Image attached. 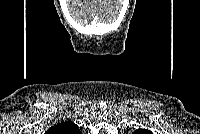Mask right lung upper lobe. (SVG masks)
Wrapping results in <instances>:
<instances>
[{
  "label": "right lung upper lobe",
  "mask_w": 200,
  "mask_h": 134,
  "mask_svg": "<svg viewBox=\"0 0 200 134\" xmlns=\"http://www.w3.org/2000/svg\"><path fill=\"white\" fill-rule=\"evenodd\" d=\"M79 128L75 123L71 121H65L58 123L51 127L46 133L47 134H78Z\"/></svg>",
  "instance_id": "right-lung-upper-lobe-1"
}]
</instances>
